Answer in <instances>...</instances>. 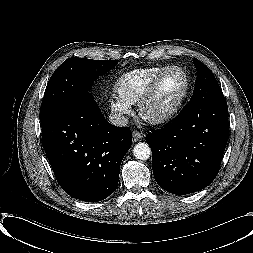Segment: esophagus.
<instances>
[{
  "label": "esophagus",
  "mask_w": 253,
  "mask_h": 253,
  "mask_svg": "<svg viewBox=\"0 0 253 253\" xmlns=\"http://www.w3.org/2000/svg\"><path fill=\"white\" fill-rule=\"evenodd\" d=\"M132 136H133L134 141L136 142L140 139H143L145 134L143 132L139 131V130H134L132 132Z\"/></svg>",
  "instance_id": "esophagus-1"
}]
</instances>
